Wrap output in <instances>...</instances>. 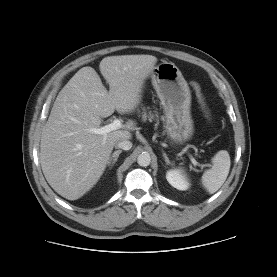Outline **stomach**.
Here are the masks:
<instances>
[{
	"label": "stomach",
	"instance_id": "obj_1",
	"mask_svg": "<svg viewBox=\"0 0 277 277\" xmlns=\"http://www.w3.org/2000/svg\"><path fill=\"white\" fill-rule=\"evenodd\" d=\"M150 75L164 109L166 134L176 143L190 139L194 131L191 93L181 71L174 63L163 61Z\"/></svg>",
	"mask_w": 277,
	"mask_h": 277
}]
</instances>
